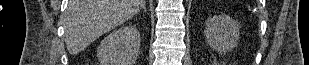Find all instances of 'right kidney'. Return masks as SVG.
<instances>
[{
    "mask_svg": "<svg viewBox=\"0 0 309 65\" xmlns=\"http://www.w3.org/2000/svg\"><path fill=\"white\" fill-rule=\"evenodd\" d=\"M140 49L135 26H123L106 36L97 48L100 65H134Z\"/></svg>",
    "mask_w": 309,
    "mask_h": 65,
    "instance_id": "1",
    "label": "right kidney"
}]
</instances>
